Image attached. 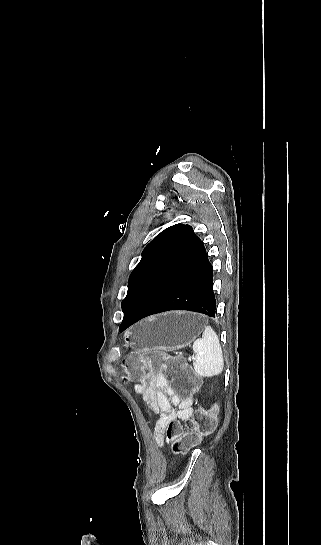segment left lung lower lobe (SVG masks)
<instances>
[{"label": "left lung lower lobe", "instance_id": "0a47b994", "mask_svg": "<svg viewBox=\"0 0 321 545\" xmlns=\"http://www.w3.org/2000/svg\"><path fill=\"white\" fill-rule=\"evenodd\" d=\"M213 269L203 242L186 225L172 251L150 279L120 326L169 310H189L215 317Z\"/></svg>", "mask_w": 321, "mask_h": 545}]
</instances>
